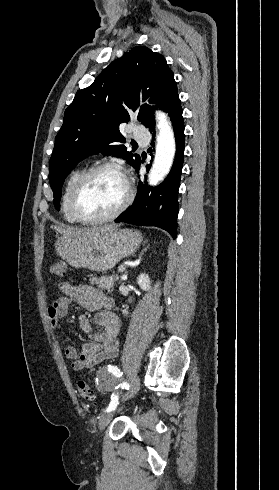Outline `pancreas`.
<instances>
[{"label": "pancreas", "instance_id": "pancreas-1", "mask_svg": "<svg viewBox=\"0 0 279 490\" xmlns=\"http://www.w3.org/2000/svg\"><path fill=\"white\" fill-rule=\"evenodd\" d=\"M93 276V274H91ZM119 280L118 274L113 276H101V278H91V284H98V288H104L107 292H112L115 282Z\"/></svg>", "mask_w": 279, "mask_h": 490}]
</instances>
